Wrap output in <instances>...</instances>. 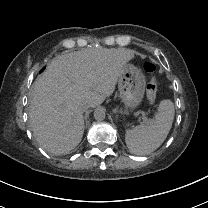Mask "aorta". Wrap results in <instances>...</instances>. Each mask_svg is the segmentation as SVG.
Here are the masks:
<instances>
[{"label":"aorta","mask_w":208,"mask_h":208,"mask_svg":"<svg viewBox=\"0 0 208 208\" xmlns=\"http://www.w3.org/2000/svg\"><path fill=\"white\" fill-rule=\"evenodd\" d=\"M105 110L103 108H97L95 111H94V118L96 120H104L105 119Z\"/></svg>","instance_id":"1"}]
</instances>
